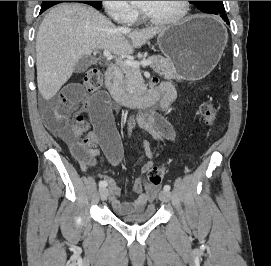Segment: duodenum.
<instances>
[{"label":"duodenum","instance_id":"obj_1","mask_svg":"<svg viewBox=\"0 0 271 266\" xmlns=\"http://www.w3.org/2000/svg\"><path fill=\"white\" fill-rule=\"evenodd\" d=\"M106 87L118 104L127 105L132 103L141 108L155 105L165 94L160 87L153 86L148 93L140 97L128 95L121 86V71L117 66H112L107 70Z\"/></svg>","mask_w":271,"mask_h":266}]
</instances>
